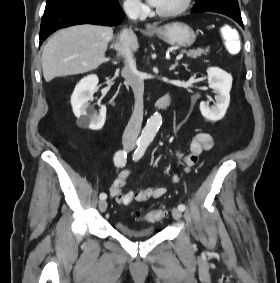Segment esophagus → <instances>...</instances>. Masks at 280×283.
Segmentation results:
<instances>
[{
  "instance_id": "obj_1",
  "label": "esophagus",
  "mask_w": 280,
  "mask_h": 283,
  "mask_svg": "<svg viewBox=\"0 0 280 283\" xmlns=\"http://www.w3.org/2000/svg\"><path fill=\"white\" fill-rule=\"evenodd\" d=\"M146 28H147L148 30H153V29H155L156 27H155L154 25H152V24H147V25H146Z\"/></svg>"
}]
</instances>
